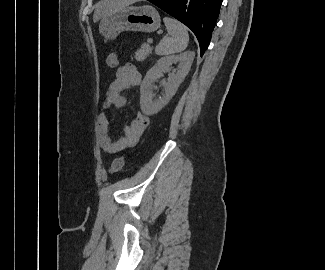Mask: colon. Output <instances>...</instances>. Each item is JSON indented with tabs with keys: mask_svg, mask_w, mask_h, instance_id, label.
Listing matches in <instances>:
<instances>
[{
	"mask_svg": "<svg viewBox=\"0 0 325 270\" xmlns=\"http://www.w3.org/2000/svg\"><path fill=\"white\" fill-rule=\"evenodd\" d=\"M106 64H107V67L110 69L115 68L118 65L117 54L114 52L110 53L107 56ZM124 162H125L124 157L116 158L111 164V167H110L111 172H118L119 170H121L124 165Z\"/></svg>",
	"mask_w": 325,
	"mask_h": 270,
	"instance_id": "5ec220e1",
	"label": "colon"
}]
</instances>
